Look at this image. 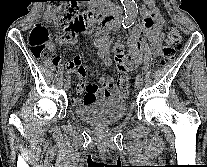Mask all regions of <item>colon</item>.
<instances>
[{"label": "colon", "mask_w": 207, "mask_h": 167, "mask_svg": "<svg viewBox=\"0 0 207 167\" xmlns=\"http://www.w3.org/2000/svg\"><path fill=\"white\" fill-rule=\"evenodd\" d=\"M56 6L58 4L47 9L46 18L49 21H56L59 24V36L61 39L70 40L84 25L85 17L79 16L75 18V12L72 8L67 9L62 15H59V7ZM29 46L33 57L44 59L53 65H58L61 62L59 55L54 51L49 30L45 25L38 24L34 26L29 35ZM180 46L181 34L177 28L171 27L168 30L166 44L161 52L160 62L162 64L170 62L175 56L176 49ZM132 83L133 80L128 71L120 67L118 83L120 90L128 92L132 88Z\"/></svg>", "instance_id": "obj_1"}]
</instances>
